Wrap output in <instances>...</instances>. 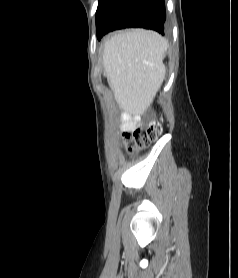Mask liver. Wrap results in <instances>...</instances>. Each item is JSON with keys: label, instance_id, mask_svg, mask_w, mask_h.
<instances>
[{"label": "liver", "instance_id": "liver-1", "mask_svg": "<svg viewBox=\"0 0 238 278\" xmlns=\"http://www.w3.org/2000/svg\"><path fill=\"white\" fill-rule=\"evenodd\" d=\"M167 41L158 33L131 29L113 35L105 43L104 75L120 109L145 113L164 79Z\"/></svg>", "mask_w": 238, "mask_h": 278}]
</instances>
